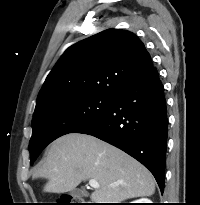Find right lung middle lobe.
Returning a JSON list of instances; mask_svg holds the SVG:
<instances>
[{"label":"right lung middle lobe","instance_id":"dd1d6c3e","mask_svg":"<svg viewBox=\"0 0 200 205\" xmlns=\"http://www.w3.org/2000/svg\"><path fill=\"white\" fill-rule=\"evenodd\" d=\"M114 97L86 95L54 103L32 119V137L29 143L30 163L41 151L58 137L77 132L94 123L109 110Z\"/></svg>","mask_w":200,"mask_h":205}]
</instances>
